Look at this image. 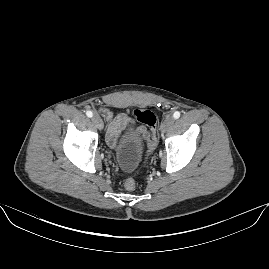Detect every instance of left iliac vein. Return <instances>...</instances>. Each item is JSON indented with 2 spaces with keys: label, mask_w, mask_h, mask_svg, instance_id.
I'll return each instance as SVG.
<instances>
[{
  "label": "left iliac vein",
  "mask_w": 269,
  "mask_h": 269,
  "mask_svg": "<svg viewBox=\"0 0 269 269\" xmlns=\"http://www.w3.org/2000/svg\"><path fill=\"white\" fill-rule=\"evenodd\" d=\"M174 118L172 116H168L161 124V131L165 132L166 130H169L174 125Z\"/></svg>",
  "instance_id": "left-iliac-vein-1"
}]
</instances>
